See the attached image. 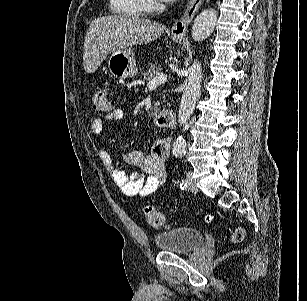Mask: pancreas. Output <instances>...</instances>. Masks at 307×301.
I'll list each match as a JSON object with an SVG mask.
<instances>
[{
	"label": "pancreas",
	"mask_w": 307,
	"mask_h": 301,
	"mask_svg": "<svg viewBox=\"0 0 307 301\" xmlns=\"http://www.w3.org/2000/svg\"><path fill=\"white\" fill-rule=\"evenodd\" d=\"M162 70L163 68H161L159 64H150V66H148V68L142 72L143 80H146V82H148V80H152L155 74H157V72H162ZM163 102H165V100H163ZM158 104H160V102H156L155 104L156 110H158Z\"/></svg>",
	"instance_id": "obj_1"
}]
</instances>
